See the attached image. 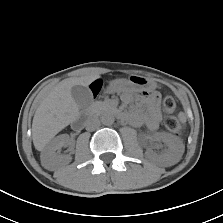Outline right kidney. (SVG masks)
<instances>
[{
    "label": "right kidney",
    "mask_w": 223,
    "mask_h": 223,
    "mask_svg": "<svg viewBox=\"0 0 223 223\" xmlns=\"http://www.w3.org/2000/svg\"><path fill=\"white\" fill-rule=\"evenodd\" d=\"M68 143L69 136L67 134H62L54 138L41 153L42 165L47 169H53L60 164H69L72 157L70 155H61L59 153L61 148Z\"/></svg>",
    "instance_id": "obj_1"
}]
</instances>
